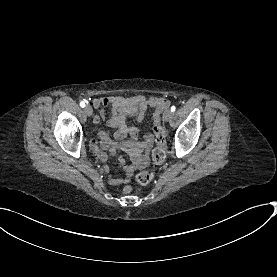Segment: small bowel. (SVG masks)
<instances>
[{"label": "small bowel", "instance_id": "small-bowel-1", "mask_svg": "<svg viewBox=\"0 0 277 277\" xmlns=\"http://www.w3.org/2000/svg\"><path fill=\"white\" fill-rule=\"evenodd\" d=\"M93 105L107 107L109 104L112 105V114L108 120V126L116 130L115 138L123 139L127 136L131 137L132 140L127 143H115L112 142L110 137L105 133H100L101 141L100 146L102 148H107L110 152H129L132 157V163L127 164L122 159L120 160V166L124 172L123 177H110L108 182L111 185H121L127 184L131 181L134 173L137 170L144 169L148 165V158L146 156V151L153 143V136L148 134L145 136L143 141H137L138 129L136 127H129L127 125L128 117H135L137 122H142L145 118V114L148 108L154 109V115L161 114L168 108L169 102L159 96H134V97H123V96H106V97H95L92 100ZM103 118L108 116L106 111L101 113ZM95 122L99 121V117H95ZM93 150L97 152L100 157L99 161L102 164L107 163L108 158L99 149L97 143L93 142L91 144ZM103 173L108 174L111 171L110 166L105 165L102 168Z\"/></svg>", "mask_w": 277, "mask_h": 277}]
</instances>
